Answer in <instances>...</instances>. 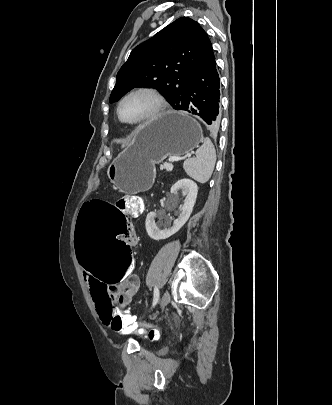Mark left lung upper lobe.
Returning <instances> with one entry per match:
<instances>
[{
    "label": "left lung upper lobe",
    "mask_w": 332,
    "mask_h": 405,
    "mask_svg": "<svg viewBox=\"0 0 332 405\" xmlns=\"http://www.w3.org/2000/svg\"><path fill=\"white\" fill-rule=\"evenodd\" d=\"M212 44L196 21L181 17L136 46L116 77L110 102L135 87L157 89L173 108L180 106L193 74L207 59Z\"/></svg>",
    "instance_id": "left-lung-upper-lobe-1"
}]
</instances>
